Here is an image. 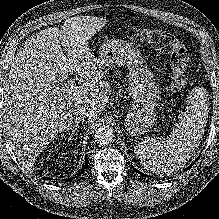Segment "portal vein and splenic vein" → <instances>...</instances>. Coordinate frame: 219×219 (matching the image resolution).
<instances>
[{
	"label": "portal vein and splenic vein",
	"instance_id": "18ae733b",
	"mask_svg": "<svg viewBox=\"0 0 219 219\" xmlns=\"http://www.w3.org/2000/svg\"><path fill=\"white\" fill-rule=\"evenodd\" d=\"M73 85H74V84H73V81H71V82L69 83V85H68L67 88H73V87H74ZM54 90H58V88H56V89H54ZM63 90H66V89H63Z\"/></svg>",
	"mask_w": 219,
	"mask_h": 219
}]
</instances>
